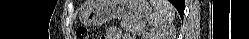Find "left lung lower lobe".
Here are the masks:
<instances>
[{"mask_svg": "<svg viewBox=\"0 0 249 39\" xmlns=\"http://www.w3.org/2000/svg\"><path fill=\"white\" fill-rule=\"evenodd\" d=\"M170 2L175 6L181 17H183L184 9H185V1L184 0H170Z\"/></svg>", "mask_w": 249, "mask_h": 39, "instance_id": "obj_1", "label": "left lung lower lobe"}]
</instances>
